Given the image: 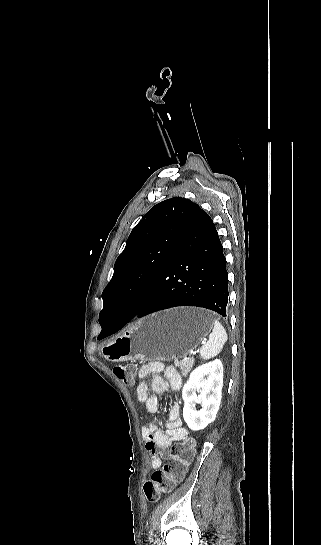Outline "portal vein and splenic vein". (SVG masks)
<instances>
[{
    "mask_svg": "<svg viewBox=\"0 0 321 545\" xmlns=\"http://www.w3.org/2000/svg\"><path fill=\"white\" fill-rule=\"evenodd\" d=\"M206 344V341H202L200 344H198V346L196 348H193L192 349V356H195V355H198L202 349H203V345Z\"/></svg>",
    "mask_w": 321,
    "mask_h": 545,
    "instance_id": "1",
    "label": "portal vein and splenic vein"
}]
</instances>
